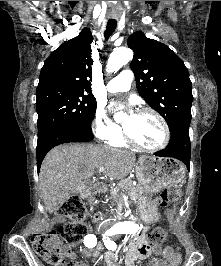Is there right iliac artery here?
<instances>
[{
    "label": "right iliac artery",
    "instance_id": "obj_1",
    "mask_svg": "<svg viewBox=\"0 0 221 266\" xmlns=\"http://www.w3.org/2000/svg\"><path fill=\"white\" fill-rule=\"evenodd\" d=\"M84 244L88 248H93L97 244V238L94 234H88L84 238Z\"/></svg>",
    "mask_w": 221,
    "mask_h": 266
}]
</instances>
